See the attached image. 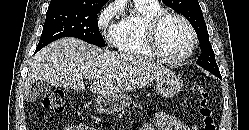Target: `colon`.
Segmentation results:
<instances>
[{
  "mask_svg": "<svg viewBox=\"0 0 249 130\" xmlns=\"http://www.w3.org/2000/svg\"><path fill=\"white\" fill-rule=\"evenodd\" d=\"M191 91L196 94L200 100L199 112L203 121V129L216 130V124L209 107V93L207 89L202 84L193 82ZM42 104L45 108H48L55 113H62L65 107L64 92L62 90L51 92L42 99Z\"/></svg>",
  "mask_w": 249,
  "mask_h": 130,
  "instance_id": "obj_1",
  "label": "colon"
}]
</instances>
